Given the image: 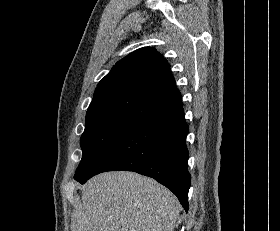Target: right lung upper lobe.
Segmentation results:
<instances>
[{"instance_id": "right-lung-upper-lobe-1", "label": "right lung upper lobe", "mask_w": 280, "mask_h": 231, "mask_svg": "<svg viewBox=\"0 0 280 231\" xmlns=\"http://www.w3.org/2000/svg\"><path fill=\"white\" fill-rule=\"evenodd\" d=\"M182 104L170 65L154 48L143 47L117 62L99 82L86 119L140 123Z\"/></svg>"}]
</instances>
